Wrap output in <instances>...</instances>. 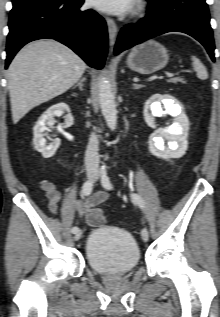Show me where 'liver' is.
<instances>
[{
    "mask_svg": "<svg viewBox=\"0 0 220 317\" xmlns=\"http://www.w3.org/2000/svg\"><path fill=\"white\" fill-rule=\"evenodd\" d=\"M85 68L76 53L57 41L37 40L23 47L7 72L13 123L34 107L66 92Z\"/></svg>",
    "mask_w": 220,
    "mask_h": 317,
    "instance_id": "liver-1",
    "label": "liver"
}]
</instances>
